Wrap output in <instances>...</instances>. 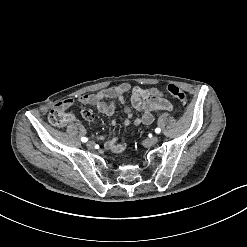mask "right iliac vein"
<instances>
[{
    "label": "right iliac vein",
    "instance_id": "obj_1",
    "mask_svg": "<svg viewBox=\"0 0 247 247\" xmlns=\"http://www.w3.org/2000/svg\"><path fill=\"white\" fill-rule=\"evenodd\" d=\"M87 147H88L89 149H94V142L89 141V142L87 143Z\"/></svg>",
    "mask_w": 247,
    "mask_h": 247
}]
</instances>
